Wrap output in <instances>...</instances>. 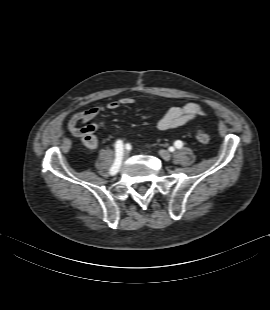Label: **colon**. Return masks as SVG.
Segmentation results:
<instances>
[{
	"label": "colon",
	"instance_id": "colon-1",
	"mask_svg": "<svg viewBox=\"0 0 270 310\" xmlns=\"http://www.w3.org/2000/svg\"><path fill=\"white\" fill-rule=\"evenodd\" d=\"M196 140L201 145H207L210 142V135L204 129H198L196 131Z\"/></svg>",
	"mask_w": 270,
	"mask_h": 310
}]
</instances>
